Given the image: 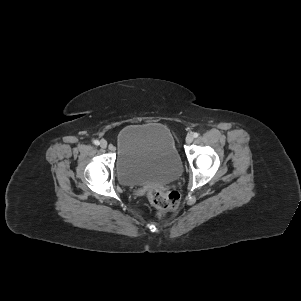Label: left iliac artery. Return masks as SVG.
I'll return each mask as SVG.
<instances>
[{
	"instance_id": "obj_1",
	"label": "left iliac artery",
	"mask_w": 301,
	"mask_h": 301,
	"mask_svg": "<svg viewBox=\"0 0 301 301\" xmlns=\"http://www.w3.org/2000/svg\"><path fill=\"white\" fill-rule=\"evenodd\" d=\"M198 136H199V133H197V132L193 133L194 138H197Z\"/></svg>"
}]
</instances>
